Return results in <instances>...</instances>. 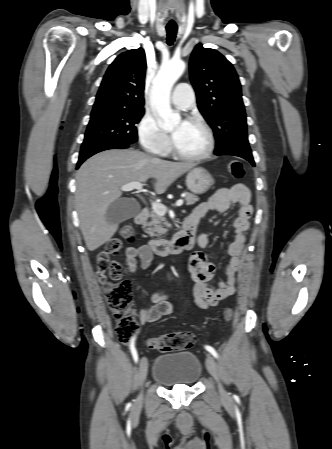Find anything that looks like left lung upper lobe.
Listing matches in <instances>:
<instances>
[{"mask_svg": "<svg viewBox=\"0 0 332 449\" xmlns=\"http://www.w3.org/2000/svg\"><path fill=\"white\" fill-rule=\"evenodd\" d=\"M190 80L198 108L214 132L215 152L251 150L241 84L232 64L218 51L198 44L190 58Z\"/></svg>", "mask_w": 332, "mask_h": 449, "instance_id": "1", "label": "left lung upper lobe"}]
</instances>
